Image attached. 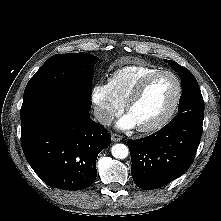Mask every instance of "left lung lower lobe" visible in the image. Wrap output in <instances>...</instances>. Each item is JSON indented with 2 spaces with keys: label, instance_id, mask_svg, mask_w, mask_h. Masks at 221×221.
Listing matches in <instances>:
<instances>
[{
  "label": "left lung lower lobe",
  "instance_id": "obj_1",
  "mask_svg": "<svg viewBox=\"0 0 221 221\" xmlns=\"http://www.w3.org/2000/svg\"><path fill=\"white\" fill-rule=\"evenodd\" d=\"M203 117L191 111L180 113L152 136L128 141L131 173L139 188H160L190 167L200 143Z\"/></svg>",
  "mask_w": 221,
  "mask_h": 221
}]
</instances>
